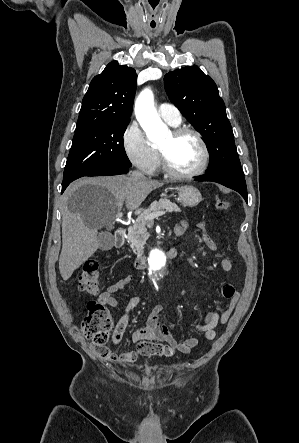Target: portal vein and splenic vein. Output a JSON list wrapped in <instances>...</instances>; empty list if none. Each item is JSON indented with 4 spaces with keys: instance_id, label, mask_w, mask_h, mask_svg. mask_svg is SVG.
Masks as SVG:
<instances>
[{
    "instance_id": "obj_1",
    "label": "portal vein and splenic vein",
    "mask_w": 299,
    "mask_h": 443,
    "mask_svg": "<svg viewBox=\"0 0 299 443\" xmlns=\"http://www.w3.org/2000/svg\"><path fill=\"white\" fill-rule=\"evenodd\" d=\"M163 215H165V211H157V212H154V213L148 215L145 219L152 221L155 218L161 217ZM121 217H122V213H120V212L117 213L116 218H121Z\"/></svg>"
}]
</instances>
